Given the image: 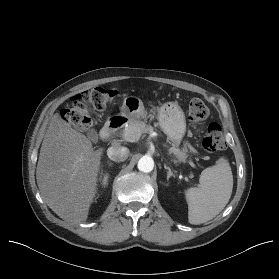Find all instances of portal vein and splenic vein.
<instances>
[{
  "label": "portal vein and splenic vein",
  "instance_id": "portal-vein-and-splenic-vein-1",
  "mask_svg": "<svg viewBox=\"0 0 279 279\" xmlns=\"http://www.w3.org/2000/svg\"><path fill=\"white\" fill-rule=\"evenodd\" d=\"M124 140L129 141V142H134L133 139L130 138V133L127 132L126 134L123 135ZM194 153H197L196 150H193Z\"/></svg>",
  "mask_w": 279,
  "mask_h": 279
}]
</instances>
